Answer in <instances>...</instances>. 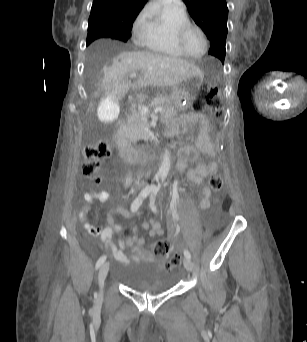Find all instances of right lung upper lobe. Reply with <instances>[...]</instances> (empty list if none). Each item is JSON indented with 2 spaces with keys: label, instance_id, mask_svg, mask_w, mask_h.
<instances>
[{
  "label": "right lung upper lobe",
  "instance_id": "1",
  "mask_svg": "<svg viewBox=\"0 0 307 342\" xmlns=\"http://www.w3.org/2000/svg\"><path fill=\"white\" fill-rule=\"evenodd\" d=\"M147 0H94L89 25L111 31L130 32Z\"/></svg>",
  "mask_w": 307,
  "mask_h": 342
}]
</instances>
